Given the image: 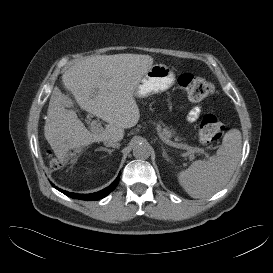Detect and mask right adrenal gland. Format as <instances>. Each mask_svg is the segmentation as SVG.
Masks as SVG:
<instances>
[{
	"instance_id": "2a0ac1e0",
	"label": "right adrenal gland",
	"mask_w": 273,
	"mask_h": 273,
	"mask_svg": "<svg viewBox=\"0 0 273 273\" xmlns=\"http://www.w3.org/2000/svg\"><path fill=\"white\" fill-rule=\"evenodd\" d=\"M97 150L108 152L110 155H111V153L114 151V149H107V148H105V147H100V148H98Z\"/></svg>"
}]
</instances>
